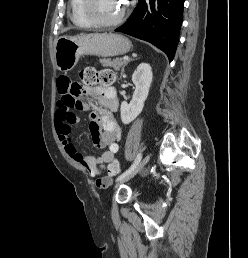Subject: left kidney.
<instances>
[{
    "label": "left kidney",
    "mask_w": 248,
    "mask_h": 258,
    "mask_svg": "<svg viewBox=\"0 0 248 258\" xmlns=\"http://www.w3.org/2000/svg\"><path fill=\"white\" fill-rule=\"evenodd\" d=\"M152 69L148 63H141L132 75V82L136 86L132 100L128 104L123 101L120 107L123 124L131 123L141 113L144 102L148 97L152 83Z\"/></svg>",
    "instance_id": "obj_1"
}]
</instances>
